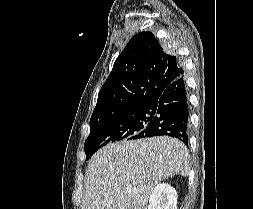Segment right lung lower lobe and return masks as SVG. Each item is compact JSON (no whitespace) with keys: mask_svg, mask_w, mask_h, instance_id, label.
Listing matches in <instances>:
<instances>
[{"mask_svg":"<svg viewBox=\"0 0 253 209\" xmlns=\"http://www.w3.org/2000/svg\"><path fill=\"white\" fill-rule=\"evenodd\" d=\"M149 105L155 112L154 118L132 139L167 135L187 145L189 106L183 75L170 83Z\"/></svg>","mask_w":253,"mask_h":209,"instance_id":"obj_1","label":"right lung lower lobe"}]
</instances>
